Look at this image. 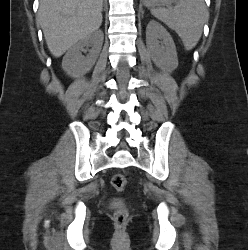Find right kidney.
Returning <instances> with one entry per match:
<instances>
[{
	"mask_svg": "<svg viewBox=\"0 0 248 250\" xmlns=\"http://www.w3.org/2000/svg\"><path fill=\"white\" fill-rule=\"evenodd\" d=\"M103 39V32L99 30L74 44L63 57L62 68L66 74L72 78H78L90 71L100 54ZM88 47L92 48L85 57L82 52H85Z\"/></svg>",
	"mask_w": 248,
	"mask_h": 250,
	"instance_id": "right-kidney-1",
	"label": "right kidney"
}]
</instances>
